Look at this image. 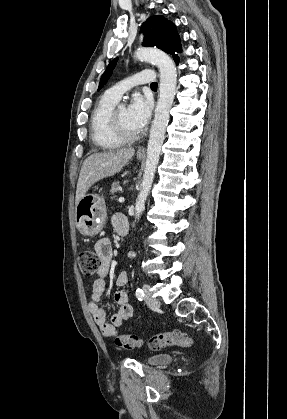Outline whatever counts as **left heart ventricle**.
I'll return each instance as SVG.
<instances>
[{"label": "left heart ventricle", "instance_id": "obj_1", "mask_svg": "<svg viewBox=\"0 0 287 419\" xmlns=\"http://www.w3.org/2000/svg\"><path fill=\"white\" fill-rule=\"evenodd\" d=\"M119 122L123 130L129 134H136L137 131L131 126L128 118L127 109L124 107H119L117 111Z\"/></svg>", "mask_w": 287, "mask_h": 419}]
</instances>
